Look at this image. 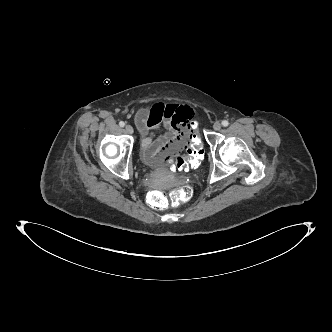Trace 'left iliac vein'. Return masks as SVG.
Instances as JSON below:
<instances>
[{
	"mask_svg": "<svg viewBox=\"0 0 332 332\" xmlns=\"http://www.w3.org/2000/svg\"><path fill=\"white\" fill-rule=\"evenodd\" d=\"M213 129H214L215 131H219V130L221 129V123H220V122H215V123L213 124Z\"/></svg>",
	"mask_w": 332,
	"mask_h": 332,
	"instance_id": "4c4485c4",
	"label": "left iliac vein"
}]
</instances>
